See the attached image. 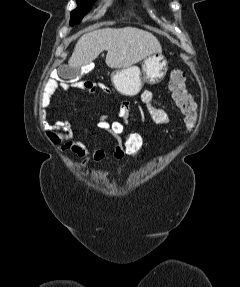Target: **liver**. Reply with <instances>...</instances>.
Segmentation results:
<instances>
[{"label": "liver", "mask_w": 240, "mask_h": 287, "mask_svg": "<svg viewBox=\"0 0 240 287\" xmlns=\"http://www.w3.org/2000/svg\"><path fill=\"white\" fill-rule=\"evenodd\" d=\"M104 50L107 51V66L120 69L130 67L153 53H160L162 48L152 33L139 28L98 29L80 37L68 67L87 66Z\"/></svg>", "instance_id": "6515ba94"}]
</instances>
